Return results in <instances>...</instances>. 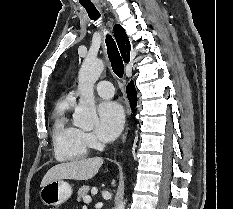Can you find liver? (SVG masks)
<instances>
[{
    "label": "liver",
    "instance_id": "6515ba94",
    "mask_svg": "<svg viewBox=\"0 0 233 209\" xmlns=\"http://www.w3.org/2000/svg\"><path fill=\"white\" fill-rule=\"evenodd\" d=\"M102 164L103 159L99 157L57 164L47 171L41 187L54 180H89L97 174Z\"/></svg>",
    "mask_w": 233,
    "mask_h": 209
}]
</instances>
